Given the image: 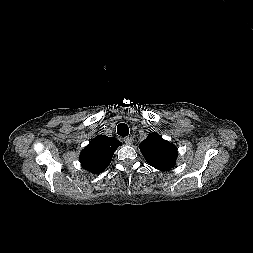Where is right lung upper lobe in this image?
I'll return each instance as SVG.
<instances>
[{
	"instance_id": "1",
	"label": "right lung upper lobe",
	"mask_w": 253,
	"mask_h": 253,
	"mask_svg": "<svg viewBox=\"0 0 253 253\" xmlns=\"http://www.w3.org/2000/svg\"><path fill=\"white\" fill-rule=\"evenodd\" d=\"M120 145L121 142L116 138L97 136L80 154L82 167L93 174L103 172L109 166L115 150Z\"/></svg>"
}]
</instances>
